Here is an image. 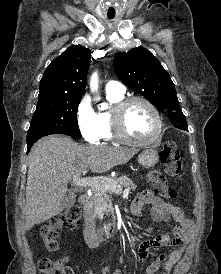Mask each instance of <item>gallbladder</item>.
<instances>
[{
    "instance_id": "1",
    "label": "gallbladder",
    "mask_w": 221,
    "mask_h": 274,
    "mask_svg": "<svg viewBox=\"0 0 221 274\" xmlns=\"http://www.w3.org/2000/svg\"><path fill=\"white\" fill-rule=\"evenodd\" d=\"M76 201V197L74 195V193L69 192L65 195L63 201H62V206L64 208H68L71 207Z\"/></svg>"
}]
</instances>
